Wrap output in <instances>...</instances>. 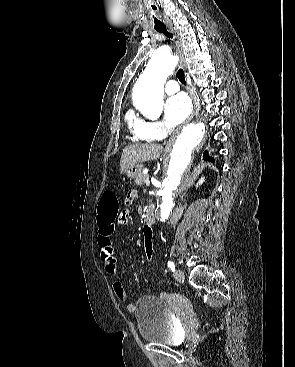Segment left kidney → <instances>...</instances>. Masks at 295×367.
I'll list each match as a JSON object with an SVG mask.
<instances>
[{
    "instance_id": "5707ae66",
    "label": "left kidney",
    "mask_w": 295,
    "mask_h": 367,
    "mask_svg": "<svg viewBox=\"0 0 295 367\" xmlns=\"http://www.w3.org/2000/svg\"><path fill=\"white\" fill-rule=\"evenodd\" d=\"M204 181H205V178H204V177H202V178L198 181V183H197L196 187H197V186L202 185V184L204 183Z\"/></svg>"
}]
</instances>
